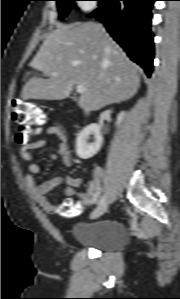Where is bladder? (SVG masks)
I'll return each mask as SVG.
<instances>
[{
    "mask_svg": "<svg viewBox=\"0 0 180 299\" xmlns=\"http://www.w3.org/2000/svg\"><path fill=\"white\" fill-rule=\"evenodd\" d=\"M126 238L125 227L116 220H102L77 225L73 230L75 242L103 251L119 249L124 245Z\"/></svg>",
    "mask_w": 180,
    "mask_h": 299,
    "instance_id": "obj_1",
    "label": "bladder"
}]
</instances>
